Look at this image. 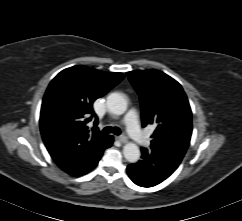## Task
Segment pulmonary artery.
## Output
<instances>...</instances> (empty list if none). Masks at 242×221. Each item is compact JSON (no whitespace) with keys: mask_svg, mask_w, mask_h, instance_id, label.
<instances>
[{"mask_svg":"<svg viewBox=\"0 0 242 221\" xmlns=\"http://www.w3.org/2000/svg\"><path fill=\"white\" fill-rule=\"evenodd\" d=\"M124 122L132 139L140 145H146L147 139L139 127L138 117L135 110H130L126 114Z\"/></svg>","mask_w":242,"mask_h":221,"instance_id":"e3ab8cb5","label":"pulmonary artery"}]
</instances>
